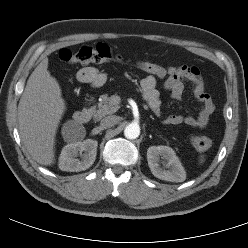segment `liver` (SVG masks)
<instances>
[{"label":"liver","mask_w":248,"mask_h":248,"mask_svg":"<svg viewBox=\"0 0 248 248\" xmlns=\"http://www.w3.org/2000/svg\"><path fill=\"white\" fill-rule=\"evenodd\" d=\"M65 109L61 88L48 71L46 57L30 75L18 105L21 139L41 165L54 163L55 136Z\"/></svg>","instance_id":"1"}]
</instances>
